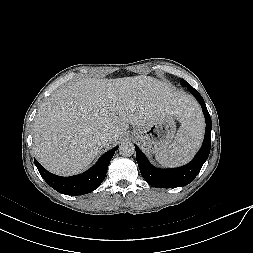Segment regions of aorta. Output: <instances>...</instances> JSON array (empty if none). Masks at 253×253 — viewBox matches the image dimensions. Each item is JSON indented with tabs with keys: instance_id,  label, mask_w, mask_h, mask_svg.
<instances>
[{
	"instance_id": "obj_1",
	"label": "aorta",
	"mask_w": 253,
	"mask_h": 253,
	"mask_svg": "<svg viewBox=\"0 0 253 253\" xmlns=\"http://www.w3.org/2000/svg\"><path fill=\"white\" fill-rule=\"evenodd\" d=\"M119 153L124 157L132 156L135 153V147L129 141L122 142L119 146Z\"/></svg>"
}]
</instances>
